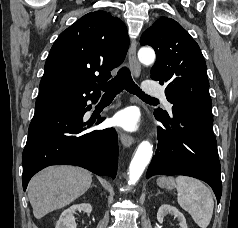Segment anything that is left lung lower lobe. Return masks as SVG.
Masks as SVG:
<instances>
[{"label": "left lung lower lobe", "mask_w": 238, "mask_h": 228, "mask_svg": "<svg viewBox=\"0 0 238 228\" xmlns=\"http://www.w3.org/2000/svg\"><path fill=\"white\" fill-rule=\"evenodd\" d=\"M165 129L158 131V148L146 173L153 175H185L208 183L219 203L222 194L221 166L213 119L182 110L167 116L154 112Z\"/></svg>", "instance_id": "left-lung-lower-lobe-1"}]
</instances>
